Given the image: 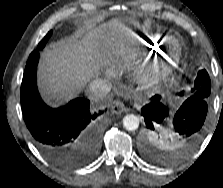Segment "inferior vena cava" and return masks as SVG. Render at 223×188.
Masks as SVG:
<instances>
[{
    "label": "inferior vena cava",
    "instance_id": "obj_1",
    "mask_svg": "<svg viewBox=\"0 0 223 188\" xmlns=\"http://www.w3.org/2000/svg\"><path fill=\"white\" fill-rule=\"evenodd\" d=\"M112 85L107 79H95L87 88V95L93 101L102 100L111 91Z\"/></svg>",
    "mask_w": 223,
    "mask_h": 188
}]
</instances>
